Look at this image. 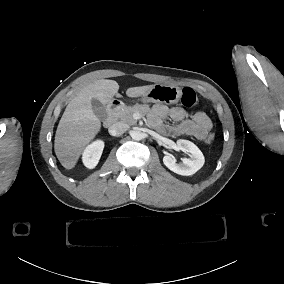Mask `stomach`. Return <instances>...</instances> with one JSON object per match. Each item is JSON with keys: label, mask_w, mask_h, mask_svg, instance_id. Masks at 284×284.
I'll use <instances>...</instances> for the list:
<instances>
[{"label": "stomach", "mask_w": 284, "mask_h": 284, "mask_svg": "<svg viewBox=\"0 0 284 284\" xmlns=\"http://www.w3.org/2000/svg\"><path fill=\"white\" fill-rule=\"evenodd\" d=\"M181 96L182 91L178 86L158 83L143 96L142 101L171 105L178 103Z\"/></svg>", "instance_id": "stomach-1"}]
</instances>
